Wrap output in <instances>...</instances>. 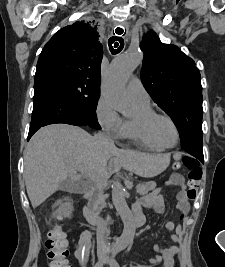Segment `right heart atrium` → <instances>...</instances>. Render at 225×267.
<instances>
[{
    "instance_id": "d8ad5b80",
    "label": "right heart atrium",
    "mask_w": 225,
    "mask_h": 267,
    "mask_svg": "<svg viewBox=\"0 0 225 267\" xmlns=\"http://www.w3.org/2000/svg\"><path fill=\"white\" fill-rule=\"evenodd\" d=\"M96 115L104 130L113 135L121 133L123 120L115 106L104 96H101L97 103Z\"/></svg>"
}]
</instances>
